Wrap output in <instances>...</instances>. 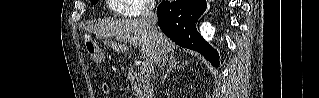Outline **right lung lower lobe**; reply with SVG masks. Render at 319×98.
Here are the masks:
<instances>
[{"instance_id":"right-lung-lower-lobe-1","label":"right lung lower lobe","mask_w":319,"mask_h":98,"mask_svg":"<svg viewBox=\"0 0 319 98\" xmlns=\"http://www.w3.org/2000/svg\"><path fill=\"white\" fill-rule=\"evenodd\" d=\"M206 9L205 0H176L162 2L157 8L158 25L176 44L201 53L214 66L219 56L197 32L196 21Z\"/></svg>"}]
</instances>
